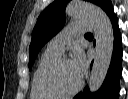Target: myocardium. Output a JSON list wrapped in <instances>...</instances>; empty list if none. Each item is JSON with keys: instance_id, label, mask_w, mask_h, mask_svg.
Instances as JSON below:
<instances>
[{"instance_id": "myocardium-1", "label": "myocardium", "mask_w": 128, "mask_h": 99, "mask_svg": "<svg viewBox=\"0 0 128 99\" xmlns=\"http://www.w3.org/2000/svg\"><path fill=\"white\" fill-rule=\"evenodd\" d=\"M65 61H70L67 57H60L58 58L53 64H51L43 73L42 75V83L43 86L50 92L56 94L59 97H68L78 93L84 84L83 79L80 80L79 84L71 89V90H64L56 83V75L61 67V65Z\"/></svg>"}]
</instances>
